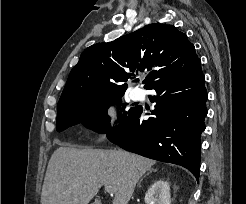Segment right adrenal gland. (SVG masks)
Masks as SVG:
<instances>
[{
	"label": "right adrenal gland",
	"instance_id": "obj_1",
	"mask_svg": "<svg viewBox=\"0 0 246 204\" xmlns=\"http://www.w3.org/2000/svg\"><path fill=\"white\" fill-rule=\"evenodd\" d=\"M156 171H157L156 169L150 168V169L148 170V173H147L144 177H142V178L140 179L138 185L143 181V179H144L149 173H151V172H156Z\"/></svg>",
	"mask_w": 246,
	"mask_h": 204
}]
</instances>
